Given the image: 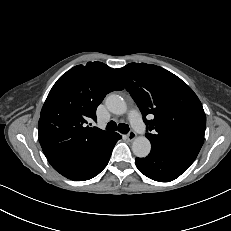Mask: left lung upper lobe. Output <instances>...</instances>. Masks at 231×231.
I'll use <instances>...</instances> for the list:
<instances>
[{"label":"left lung upper lobe","mask_w":231,"mask_h":231,"mask_svg":"<svg viewBox=\"0 0 231 231\" xmlns=\"http://www.w3.org/2000/svg\"><path fill=\"white\" fill-rule=\"evenodd\" d=\"M117 74L148 125L151 133L146 137L152 146L199 153L206 115L185 82L162 67L145 63H130L117 69Z\"/></svg>","instance_id":"obj_1"}]
</instances>
